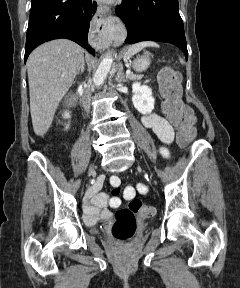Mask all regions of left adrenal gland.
<instances>
[{
  "label": "left adrenal gland",
  "instance_id": "left-adrenal-gland-1",
  "mask_svg": "<svg viewBox=\"0 0 240 288\" xmlns=\"http://www.w3.org/2000/svg\"><path fill=\"white\" fill-rule=\"evenodd\" d=\"M116 82L121 83V82H125L126 79L124 77V72H123V65H120V68L117 72L116 78H115Z\"/></svg>",
  "mask_w": 240,
  "mask_h": 288
}]
</instances>
